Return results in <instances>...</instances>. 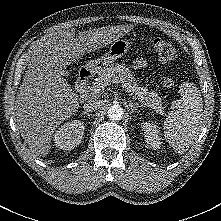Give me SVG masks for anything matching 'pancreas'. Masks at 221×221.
Listing matches in <instances>:
<instances>
[{
	"label": "pancreas",
	"mask_w": 221,
	"mask_h": 221,
	"mask_svg": "<svg viewBox=\"0 0 221 221\" xmlns=\"http://www.w3.org/2000/svg\"><path fill=\"white\" fill-rule=\"evenodd\" d=\"M119 76L122 87L125 88L129 95H134L144 106L154 109L156 113L164 114L162 98L154 91H149L147 87H141L135 82L131 70L124 64L109 65L96 80L92 83L91 90L97 86H103L98 94L104 92L105 86Z\"/></svg>",
	"instance_id": "obj_1"
}]
</instances>
